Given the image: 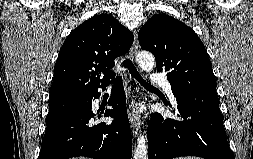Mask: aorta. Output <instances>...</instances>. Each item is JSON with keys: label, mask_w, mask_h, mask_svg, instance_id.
<instances>
[{"label": "aorta", "mask_w": 253, "mask_h": 159, "mask_svg": "<svg viewBox=\"0 0 253 159\" xmlns=\"http://www.w3.org/2000/svg\"><path fill=\"white\" fill-rule=\"evenodd\" d=\"M138 65L145 71L153 69L155 58L151 53L141 52L137 57ZM134 159H148L147 158V137L146 135H139L137 145L134 150Z\"/></svg>", "instance_id": "1"}]
</instances>
